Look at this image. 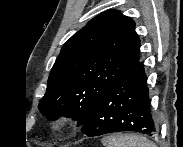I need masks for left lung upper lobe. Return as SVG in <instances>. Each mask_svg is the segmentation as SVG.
<instances>
[{"mask_svg": "<svg viewBox=\"0 0 183 147\" xmlns=\"http://www.w3.org/2000/svg\"><path fill=\"white\" fill-rule=\"evenodd\" d=\"M135 23L119 11L95 17L64 44L50 72L40 112L83 124L104 92L139 61Z\"/></svg>", "mask_w": 183, "mask_h": 147, "instance_id": "obj_1", "label": "left lung upper lobe"}]
</instances>
